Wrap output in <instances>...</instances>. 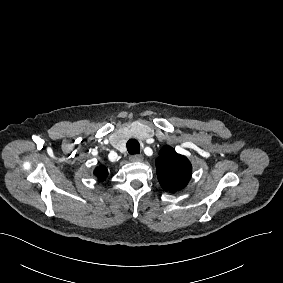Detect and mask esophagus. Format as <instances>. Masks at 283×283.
<instances>
[{"label":"esophagus","mask_w":283,"mask_h":283,"mask_svg":"<svg viewBox=\"0 0 283 283\" xmlns=\"http://www.w3.org/2000/svg\"><path fill=\"white\" fill-rule=\"evenodd\" d=\"M144 159L142 154H132L129 157L131 162H141Z\"/></svg>","instance_id":"esophagus-1"}]
</instances>
